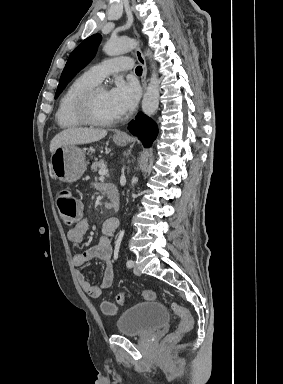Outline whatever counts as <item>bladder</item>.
Here are the masks:
<instances>
[{
    "mask_svg": "<svg viewBox=\"0 0 283 384\" xmlns=\"http://www.w3.org/2000/svg\"><path fill=\"white\" fill-rule=\"evenodd\" d=\"M168 321L169 312L162 302L145 301L122 310L115 328L120 335L139 337L152 334Z\"/></svg>",
    "mask_w": 283,
    "mask_h": 384,
    "instance_id": "obj_1",
    "label": "bladder"
}]
</instances>
